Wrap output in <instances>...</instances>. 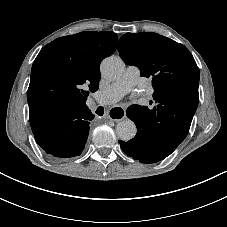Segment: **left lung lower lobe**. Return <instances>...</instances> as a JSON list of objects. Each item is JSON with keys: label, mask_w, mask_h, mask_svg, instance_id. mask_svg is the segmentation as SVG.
Wrapping results in <instances>:
<instances>
[{"label": "left lung lower lobe", "mask_w": 227, "mask_h": 227, "mask_svg": "<svg viewBox=\"0 0 227 227\" xmlns=\"http://www.w3.org/2000/svg\"><path fill=\"white\" fill-rule=\"evenodd\" d=\"M196 109L182 105H163L149 109L132 105L127 111L137 127L136 136L119 141L122 150L141 163H155L170 155L185 139Z\"/></svg>", "instance_id": "left-lung-lower-lobe-1"}]
</instances>
